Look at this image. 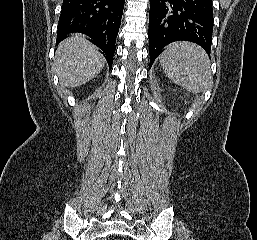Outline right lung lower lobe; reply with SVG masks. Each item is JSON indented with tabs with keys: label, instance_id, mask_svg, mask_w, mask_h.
I'll return each mask as SVG.
<instances>
[{
	"label": "right lung lower lobe",
	"instance_id": "98d812e1",
	"mask_svg": "<svg viewBox=\"0 0 257 240\" xmlns=\"http://www.w3.org/2000/svg\"><path fill=\"white\" fill-rule=\"evenodd\" d=\"M125 0H63L57 44L69 33L89 36L112 67Z\"/></svg>",
	"mask_w": 257,
	"mask_h": 240
}]
</instances>
